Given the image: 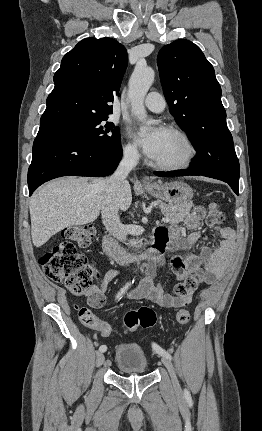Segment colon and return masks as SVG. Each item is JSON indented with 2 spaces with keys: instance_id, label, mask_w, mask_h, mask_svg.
I'll return each mask as SVG.
<instances>
[{
  "instance_id": "1",
  "label": "colon",
  "mask_w": 262,
  "mask_h": 431,
  "mask_svg": "<svg viewBox=\"0 0 262 431\" xmlns=\"http://www.w3.org/2000/svg\"><path fill=\"white\" fill-rule=\"evenodd\" d=\"M223 219L224 215L219 207L216 204L209 205L207 222L210 225H219ZM94 235L95 230L90 226H77L63 231V240L39 258V264L46 277L55 283L65 285L70 293L80 296L90 287L96 274V267L89 258L77 251L76 246L90 245ZM197 286L198 279L189 276L176 284L174 292L176 296L186 299ZM79 317L84 325L98 330L103 336L111 335L112 327L98 320L85 308L80 309ZM189 320L190 312L185 303L178 310L176 321L180 326H184ZM123 324L127 332H133L139 327H153L156 324V314L148 306L130 309L124 315Z\"/></svg>"
}]
</instances>
